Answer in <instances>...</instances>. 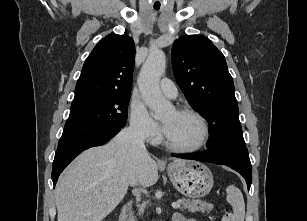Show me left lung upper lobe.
Here are the masks:
<instances>
[{
	"label": "left lung upper lobe",
	"instance_id": "left-lung-upper-lobe-1",
	"mask_svg": "<svg viewBox=\"0 0 307 221\" xmlns=\"http://www.w3.org/2000/svg\"><path fill=\"white\" fill-rule=\"evenodd\" d=\"M172 64L189 104L209 123L208 148H229L248 155L224 55L205 36H181L172 46Z\"/></svg>",
	"mask_w": 307,
	"mask_h": 221
}]
</instances>
